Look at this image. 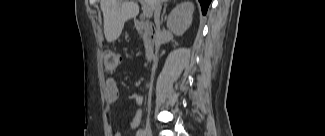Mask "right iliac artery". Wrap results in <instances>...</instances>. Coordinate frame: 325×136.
I'll use <instances>...</instances> for the list:
<instances>
[{
    "mask_svg": "<svg viewBox=\"0 0 325 136\" xmlns=\"http://www.w3.org/2000/svg\"><path fill=\"white\" fill-rule=\"evenodd\" d=\"M145 135H146L145 130L140 129L137 131V136H145Z\"/></svg>",
    "mask_w": 325,
    "mask_h": 136,
    "instance_id": "obj_1",
    "label": "right iliac artery"
}]
</instances>
